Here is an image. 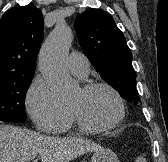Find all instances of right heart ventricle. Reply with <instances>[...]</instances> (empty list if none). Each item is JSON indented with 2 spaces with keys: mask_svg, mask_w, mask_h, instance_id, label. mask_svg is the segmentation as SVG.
Segmentation results:
<instances>
[{
  "mask_svg": "<svg viewBox=\"0 0 168 162\" xmlns=\"http://www.w3.org/2000/svg\"><path fill=\"white\" fill-rule=\"evenodd\" d=\"M71 128H72V119H71V116H70V121H69V123H68L62 130H60V132L69 131Z\"/></svg>",
  "mask_w": 168,
  "mask_h": 162,
  "instance_id": "1",
  "label": "right heart ventricle"
}]
</instances>
